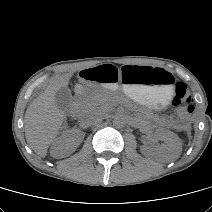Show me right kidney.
<instances>
[{"mask_svg":"<svg viewBox=\"0 0 212 212\" xmlns=\"http://www.w3.org/2000/svg\"><path fill=\"white\" fill-rule=\"evenodd\" d=\"M84 133L78 129L63 131L52 143L50 154L53 158H63L72 154L80 145Z\"/></svg>","mask_w":212,"mask_h":212,"instance_id":"1","label":"right kidney"}]
</instances>
